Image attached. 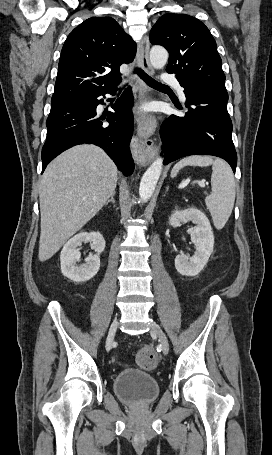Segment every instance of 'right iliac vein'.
<instances>
[{
	"mask_svg": "<svg viewBox=\"0 0 272 455\" xmlns=\"http://www.w3.org/2000/svg\"><path fill=\"white\" fill-rule=\"evenodd\" d=\"M117 326H118V321H117V319H115L109 328L108 336L106 339V349L107 350H110L113 345Z\"/></svg>",
	"mask_w": 272,
	"mask_h": 455,
	"instance_id": "right-iliac-vein-1",
	"label": "right iliac vein"
}]
</instances>
